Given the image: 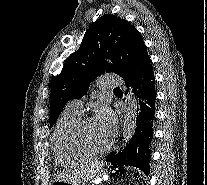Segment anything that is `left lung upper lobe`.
<instances>
[{
  "instance_id": "obj_1",
  "label": "left lung upper lobe",
  "mask_w": 207,
  "mask_h": 185,
  "mask_svg": "<svg viewBox=\"0 0 207 185\" xmlns=\"http://www.w3.org/2000/svg\"><path fill=\"white\" fill-rule=\"evenodd\" d=\"M112 60V64L105 59ZM151 65L140 33L128 21L111 14L96 20L87 30L77 51L51 83L50 126L57 121L67 101L86 94L89 83L105 72L126 80Z\"/></svg>"
}]
</instances>
